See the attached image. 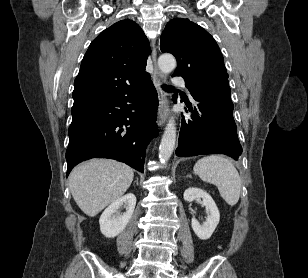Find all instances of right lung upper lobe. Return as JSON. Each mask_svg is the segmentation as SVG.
<instances>
[{"label":"right lung upper lobe","instance_id":"1","mask_svg":"<svg viewBox=\"0 0 308 278\" xmlns=\"http://www.w3.org/2000/svg\"><path fill=\"white\" fill-rule=\"evenodd\" d=\"M151 52L141 28L122 20L105 29L90 44L74 81L71 112L126 96L148 78L146 60Z\"/></svg>","mask_w":308,"mask_h":278}]
</instances>
